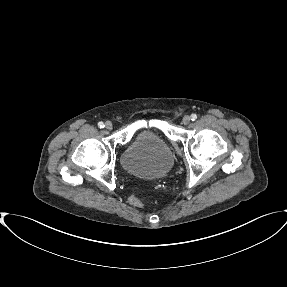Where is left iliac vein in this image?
Here are the masks:
<instances>
[{
  "label": "left iliac vein",
  "instance_id": "left-iliac-vein-1",
  "mask_svg": "<svg viewBox=\"0 0 287 287\" xmlns=\"http://www.w3.org/2000/svg\"><path fill=\"white\" fill-rule=\"evenodd\" d=\"M190 121H191V118L188 115L184 116L182 119V122L184 125H188L190 123Z\"/></svg>",
  "mask_w": 287,
  "mask_h": 287
}]
</instances>
